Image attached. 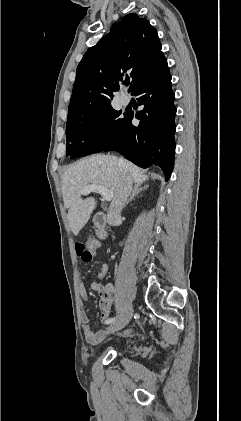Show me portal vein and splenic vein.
<instances>
[{"mask_svg": "<svg viewBox=\"0 0 241 421\" xmlns=\"http://www.w3.org/2000/svg\"><path fill=\"white\" fill-rule=\"evenodd\" d=\"M91 192L99 193L103 197V200H105L107 202L111 201L112 198H113V192L112 191L108 190L107 188H105L102 185H96V184H92V185L87 186L86 188H84L81 191V194L87 195Z\"/></svg>", "mask_w": 241, "mask_h": 421, "instance_id": "portal-vein-and-splenic-vein-1", "label": "portal vein and splenic vein"}]
</instances>
